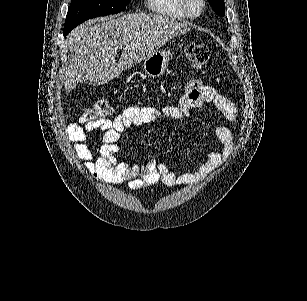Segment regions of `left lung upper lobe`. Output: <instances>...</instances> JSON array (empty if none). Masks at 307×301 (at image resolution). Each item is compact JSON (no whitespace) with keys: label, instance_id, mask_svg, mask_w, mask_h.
<instances>
[{"label":"left lung upper lobe","instance_id":"5c2ea615","mask_svg":"<svg viewBox=\"0 0 307 301\" xmlns=\"http://www.w3.org/2000/svg\"><path fill=\"white\" fill-rule=\"evenodd\" d=\"M210 5L219 16L225 15V4L224 0H208Z\"/></svg>","mask_w":307,"mask_h":301}]
</instances>
